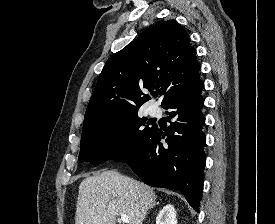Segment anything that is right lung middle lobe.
Masks as SVG:
<instances>
[{"instance_id": "dd1d6c3e", "label": "right lung middle lobe", "mask_w": 275, "mask_h": 224, "mask_svg": "<svg viewBox=\"0 0 275 224\" xmlns=\"http://www.w3.org/2000/svg\"><path fill=\"white\" fill-rule=\"evenodd\" d=\"M137 111L123 113L94 123L82 130L79 162L94 164L113 159L135 145L153 128Z\"/></svg>"}]
</instances>
